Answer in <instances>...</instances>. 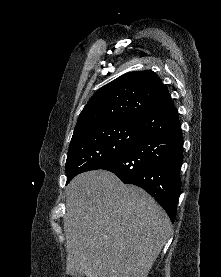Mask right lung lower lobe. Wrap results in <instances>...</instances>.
I'll return each instance as SVG.
<instances>
[{"mask_svg":"<svg viewBox=\"0 0 221 277\" xmlns=\"http://www.w3.org/2000/svg\"><path fill=\"white\" fill-rule=\"evenodd\" d=\"M138 127L139 133L126 154L100 169L143 188L174 222L181 189L183 138L172 101L143 115Z\"/></svg>","mask_w":221,"mask_h":277,"instance_id":"98d812e1","label":"right lung lower lobe"}]
</instances>
